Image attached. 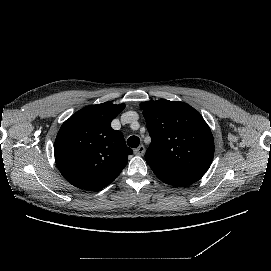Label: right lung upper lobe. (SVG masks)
<instances>
[{"mask_svg": "<svg viewBox=\"0 0 271 271\" xmlns=\"http://www.w3.org/2000/svg\"><path fill=\"white\" fill-rule=\"evenodd\" d=\"M125 105L110 102L82 108L66 120L55 140L54 155L63 177L72 185L97 191L109 185L133 151L111 121Z\"/></svg>", "mask_w": 271, "mask_h": 271, "instance_id": "obj_1", "label": "right lung upper lobe"}]
</instances>
